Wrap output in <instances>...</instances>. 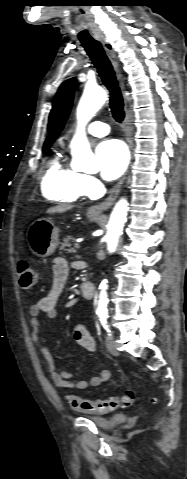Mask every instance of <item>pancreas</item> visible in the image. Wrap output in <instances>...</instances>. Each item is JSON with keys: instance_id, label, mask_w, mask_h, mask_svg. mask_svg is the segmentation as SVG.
<instances>
[{"instance_id": "obj_1", "label": "pancreas", "mask_w": 187, "mask_h": 479, "mask_svg": "<svg viewBox=\"0 0 187 479\" xmlns=\"http://www.w3.org/2000/svg\"><path fill=\"white\" fill-rule=\"evenodd\" d=\"M74 240V238L72 236H68L66 238L63 239V243H61V247L60 249L61 250H65V251H68V252H73V248H71V244H70V241Z\"/></svg>"}]
</instances>
